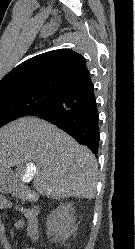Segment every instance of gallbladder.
I'll list each match as a JSON object with an SVG mask.
<instances>
[{
    "mask_svg": "<svg viewBox=\"0 0 135 249\" xmlns=\"http://www.w3.org/2000/svg\"><path fill=\"white\" fill-rule=\"evenodd\" d=\"M17 169H18L19 171H23V170L25 169V166H19ZM0 185H1V183H0Z\"/></svg>",
    "mask_w": 135,
    "mask_h": 249,
    "instance_id": "bac80fb5",
    "label": "gallbladder"
}]
</instances>
